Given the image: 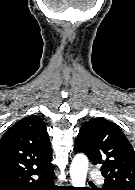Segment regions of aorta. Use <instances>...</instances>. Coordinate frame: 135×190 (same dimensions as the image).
I'll return each instance as SVG.
<instances>
[{
	"label": "aorta",
	"mask_w": 135,
	"mask_h": 190,
	"mask_svg": "<svg viewBox=\"0 0 135 190\" xmlns=\"http://www.w3.org/2000/svg\"><path fill=\"white\" fill-rule=\"evenodd\" d=\"M88 172V159L84 154H77L70 165V177L74 187H85Z\"/></svg>",
	"instance_id": "aorta-1"
}]
</instances>
